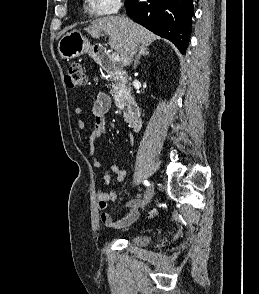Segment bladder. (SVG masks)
<instances>
[{
    "instance_id": "31cf9c89",
    "label": "bladder",
    "mask_w": 259,
    "mask_h": 294,
    "mask_svg": "<svg viewBox=\"0 0 259 294\" xmlns=\"http://www.w3.org/2000/svg\"><path fill=\"white\" fill-rule=\"evenodd\" d=\"M130 240L137 245H145L150 242L151 237L146 234H136Z\"/></svg>"
}]
</instances>
